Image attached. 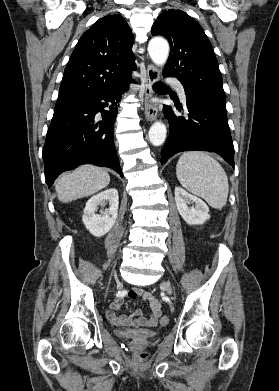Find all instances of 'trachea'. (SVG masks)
Instances as JSON below:
<instances>
[{
	"label": "trachea",
	"mask_w": 279,
	"mask_h": 391,
	"mask_svg": "<svg viewBox=\"0 0 279 391\" xmlns=\"http://www.w3.org/2000/svg\"><path fill=\"white\" fill-rule=\"evenodd\" d=\"M153 88L155 90H160V89H167L168 87L165 84H163L162 82H156L153 84Z\"/></svg>",
	"instance_id": "trachea-1"
}]
</instances>
